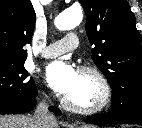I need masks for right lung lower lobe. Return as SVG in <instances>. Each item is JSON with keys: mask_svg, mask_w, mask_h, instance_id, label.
<instances>
[{"mask_svg": "<svg viewBox=\"0 0 142 128\" xmlns=\"http://www.w3.org/2000/svg\"><path fill=\"white\" fill-rule=\"evenodd\" d=\"M37 90L29 98L26 99H2L0 100V114H17L30 112L36 103ZM50 110L55 114L60 115V111L57 108L50 107Z\"/></svg>", "mask_w": 142, "mask_h": 128, "instance_id": "right-lung-lower-lobe-1", "label": "right lung lower lobe"}]
</instances>
